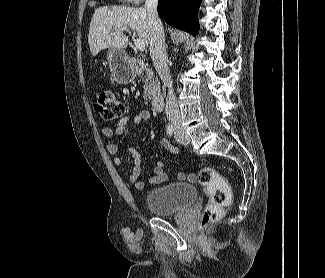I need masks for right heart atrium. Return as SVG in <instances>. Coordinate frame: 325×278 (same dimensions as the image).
Returning <instances> with one entry per match:
<instances>
[{"instance_id": "obj_1", "label": "right heart atrium", "mask_w": 325, "mask_h": 278, "mask_svg": "<svg viewBox=\"0 0 325 278\" xmlns=\"http://www.w3.org/2000/svg\"><path fill=\"white\" fill-rule=\"evenodd\" d=\"M126 1H129V2H132V3H140L142 0H126Z\"/></svg>"}]
</instances>
